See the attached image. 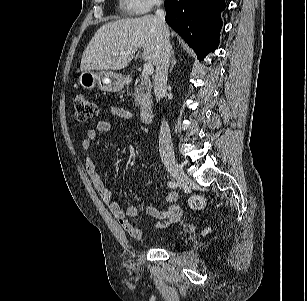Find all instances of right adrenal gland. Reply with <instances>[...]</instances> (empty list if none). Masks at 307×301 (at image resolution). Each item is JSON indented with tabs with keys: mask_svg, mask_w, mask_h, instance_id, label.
<instances>
[{
	"mask_svg": "<svg viewBox=\"0 0 307 301\" xmlns=\"http://www.w3.org/2000/svg\"><path fill=\"white\" fill-rule=\"evenodd\" d=\"M171 49H172V47H171ZM176 63H177V60H176V58H175V56H174V51H173V49H172V60H171L170 72L173 70V68H174V66H175Z\"/></svg>",
	"mask_w": 307,
	"mask_h": 301,
	"instance_id": "1",
	"label": "right adrenal gland"
}]
</instances>
